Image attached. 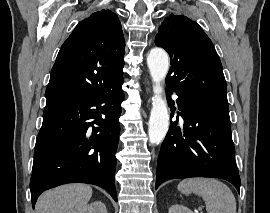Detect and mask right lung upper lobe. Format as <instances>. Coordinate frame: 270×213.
Segmentation results:
<instances>
[{
	"mask_svg": "<svg viewBox=\"0 0 270 213\" xmlns=\"http://www.w3.org/2000/svg\"><path fill=\"white\" fill-rule=\"evenodd\" d=\"M125 41L119 18L101 10L81 21L51 70L46 104L77 101L123 83Z\"/></svg>",
	"mask_w": 270,
	"mask_h": 213,
	"instance_id": "right-lung-upper-lobe-1",
	"label": "right lung upper lobe"
}]
</instances>
